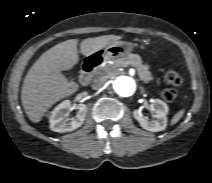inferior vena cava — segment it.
Here are the masks:
<instances>
[{"mask_svg":"<svg viewBox=\"0 0 212 183\" xmlns=\"http://www.w3.org/2000/svg\"><path fill=\"white\" fill-rule=\"evenodd\" d=\"M104 84H105V81L102 78H97V79H94L91 86L94 90H98L102 88Z\"/></svg>","mask_w":212,"mask_h":183,"instance_id":"inferior-vena-cava-1","label":"inferior vena cava"}]
</instances>
